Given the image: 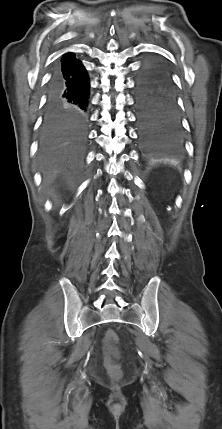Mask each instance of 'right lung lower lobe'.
I'll return each mask as SVG.
<instances>
[{
  "instance_id": "obj_1",
  "label": "right lung lower lobe",
  "mask_w": 222,
  "mask_h": 429,
  "mask_svg": "<svg viewBox=\"0 0 222 429\" xmlns=\"http://www.w3.org/2000/svg\"><path fill=\"white\" fill-rule=\"evenodd\" d=\"M89 79L74 54H65L53 70L47 88L45 126L77 135L87 123Z\"/></svg>"
}]
</instances>
